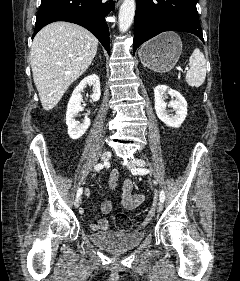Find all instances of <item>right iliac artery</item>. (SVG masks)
Masks as SVG:
<instances>
[{"instance_id":"right-iliac-artery-1","label":"right iliac artery","mask_w":240,"mask_h":281,"mask_svg":"<svg viewBox=\"0 0 240 281\" xmlns=\"http://www.w3.org/2000/svg\"><path fill=\"white\" fill-rule=\"evenodd\" d=\"M103 167H104V164L99 163V164L95 165L94 169L97 170V171H99V170H101ZM82 192H83V188L81 187V188H79L78 191H77V194H76L77 197L81 196Z\"/></svg>"}]
</instances>
